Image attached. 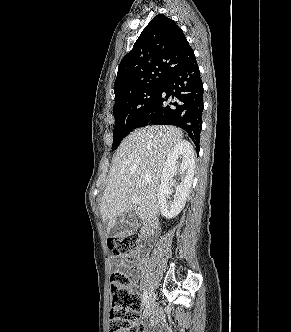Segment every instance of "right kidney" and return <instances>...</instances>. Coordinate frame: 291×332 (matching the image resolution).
<instances>
[{
  "mask_svg": "<svg viewBox=\"0 0 291 332\" xmlns=\"http://www.w3.org/2000/svg\"><path fill=\"white\" fill-rule=\"evenodd\" d=\"M180 158H182L181 163H179ZM194 168L193 147L187 141L179 142L167 156L158 189L159 209L165 218H174L185 206L194 176ZM177 174L181 176V182L176 186L173 202H169L168 199L175 184L173 177Z\"/></svg>",
  "mask_w": 291,
  "mask_h": 332,
  "instance_id": "1",
  "label": "right kidney"
}]
</instances>
